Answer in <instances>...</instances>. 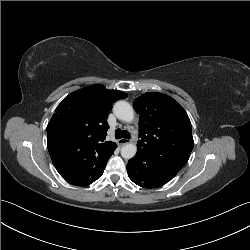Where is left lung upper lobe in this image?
<instances>
[{"label": "left lung upper lobe", "instance_id": "obj_1", "mask_svg": "<svg viewBox=\"0 0 250 250\" xmlns=\"http://www.w3.org/2000/svg\"><path fill=\"white\" fill-rule=\"evenodd\" d=\"M133 107L140 115L137 151L151 162L180 170L194 146L185 110L173 98L158 92L138 97Z\"/></svg>", "mask_w": 250, "mask_h": 250}]
</instances>
